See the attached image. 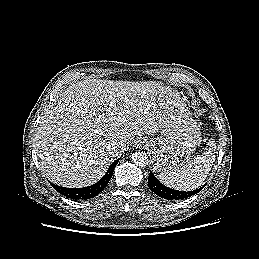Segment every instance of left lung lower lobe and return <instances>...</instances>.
Masks as SVG:
<instances>
[{
    "mask_svg": "<svg viewBox=\"0 0 259 259\" xmlns=\"http://www.w3.org/2000/svg\"><path fill=\"white\" fill-rule=\"evenodd\" d=\"M148 185L150 189L159 197L167 199V200H178V199H184L187 197H191L192 195H195L198 193L203 187L189 191V192H181L176 191L174 189H170L169 187H166L162 185L156 177L153 175V173L150 171L149 177H148Z\"/></svg>",
    "mask_w": 259,
    "mask_h": 259,
    "instance_id": "left-lung-lower-lobe-1",
    "label": "left lung lower lobe"
}]
</instances>
